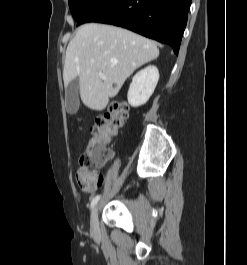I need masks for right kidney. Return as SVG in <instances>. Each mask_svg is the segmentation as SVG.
Wrapping results in <instances>:
<instances>
[{"mask_svg": "<svg viewBox=\"0 0 247 265\" xmlns=\"http://www.w3.org/2000/svg\"><path fill=\"white\" fill-rule=\"evenodd\" d=\"M159 80V71L155 66H148L142 69L132 79L128 91V103L132 107H139L145 104Z\"/></svg>", "mask_w": 247, "mask_h": 265, "instance_id": "1", "label": "right kidney"}]
</instances>
